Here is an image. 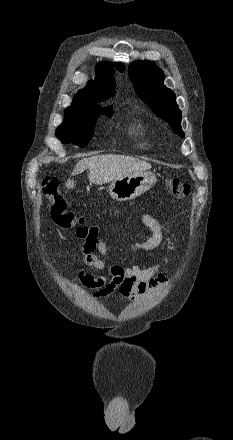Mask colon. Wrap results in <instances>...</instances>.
I'll return each instance as SVG.
<instances>
[{"instance_id": "colon-1", "label": "colon", "mask_w": 233, "mask_h": 440, "mask_svg": "<svg viewBox=\"0 0 233 440\" xmlns=\"http://www.w3.org/2000/svg\"><path fill=\"white\" fill-rule=\"evenodd\" d=\"M167 186L176 197L187 196L191 185L179 177L169 178ZM42 192L52 200L51 217L55 225L60 229H71L84 224V217L68 209V202L60 188L59 180L55 177H47L42 181Z\"/></svg>"}]
</instances>
